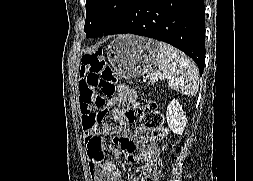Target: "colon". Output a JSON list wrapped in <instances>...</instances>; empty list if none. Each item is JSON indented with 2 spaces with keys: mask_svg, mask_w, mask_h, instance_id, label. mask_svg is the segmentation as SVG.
Here are the masks:
<instances>
[{
  "mask_svg": "<svg viewBox=\"0 0 253 181\" xmlns=\"http://www.w3.org/2000/svg\"><path fill=\"white\" fill-rule=\"evenodd\" d=\"M86 52L88 56L83 58L82 68L86 71L85 84L88 91L85 100L88 113L82 121L84 128L90 131L85 141L92 146V143L102 141V130H94V125H101L106 115V102L115 95L117 86L112 70L104 65L103 55H108V50H102V47H86ZM139 115L142 126L151 129L154 138L165 137V131L162 128L163 116L157 110L155 102H145L139 110ZM100 149L99 145H94L91 156L98 158L96 152ZM144 181H157V174L152 172L146 175Z\"/></svg>",
  "mask_w": 253,
  "mask_h": 181,
  "instance_id": "obj_1",
  "label": "colon"
}]
</instances>
